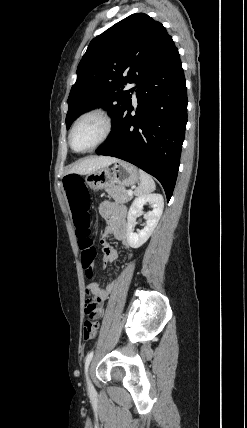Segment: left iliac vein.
Returning <instances> with one entry per match:
<instances>
[{"mask_svg":"<svg viewBox=\"0 0 247 428\" xmlns=\"http://www.w3.org/2000/svg\"><path fill=\"white\" fill-rule=\"evenodd\" d=\"M87 385H88V389L91 391L93 389V385L91 383L89 376L87 377Z\"/></svg>","mask_w":247,"mask_h":428,"instance_id":"left-iliac-vein-1","label":"left iliac vein"}]
</instances>
